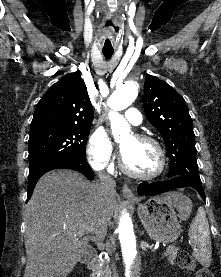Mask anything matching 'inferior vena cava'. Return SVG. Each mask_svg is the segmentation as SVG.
I'll return each mask as SVG.
<instances>
[{
  "instance_id": "inferior-vena-cava-1",
  "label": "inferior vena cava",
  "mask_w": 221,
  "mask_h": 277,
  "mask_svg": "<svg viewBox=\"0 0 221 277\" xmlns=\"http://www.w3.org/2000/svg\"><path fill=\"white\" fill-rule=\"evenodd\" d=\"M98 177L100 181L99 193H100V196L105 200L115 192L116 182L109 174H106L104 171H99ZM112 269H113L112 276L118 277V273L116 272L114 263L112 264Z\"/></svg>"
}]
</instances>
